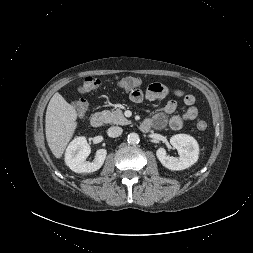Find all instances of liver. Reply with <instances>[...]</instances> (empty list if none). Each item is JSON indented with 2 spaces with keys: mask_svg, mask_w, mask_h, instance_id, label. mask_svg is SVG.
<instances>
[{
  "mask_svg": "<svg viewBox=\"0 0 253 253\" xmlns=\"http://www.w3.org/2000/svg\"><path fill=\"white\" fill-rule=\"evenodd\" d=\"M77 111L56 92L47 106L46 140L56 158H61L77 127Z\"/></svg>",
  "mask_w": 253,
  "mask_h": 253,
  "instance_id": "obj_1",
  "label": "liver"
}]
</instances>
